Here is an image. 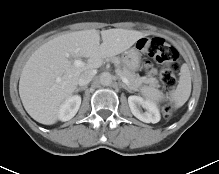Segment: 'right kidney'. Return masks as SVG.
Masks as SVG:
<instances>
[{"label": "right kidney", "mask_w": 219, "mask_h": 174, "mask_svg": "<svg viewBox=\"0 0 219 174\" xmlns=\"http://www.w3.org/2000/svg\"><path fill=\"white\" fill-rule=\"evenodd\" d=\"M81 105V97L74 95L69 97L59 108L58 119L68 121L72 119L78 112Z\"/></svg>", "instance_id": "ca27d5eb"}]
</instances>
